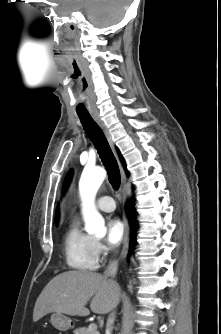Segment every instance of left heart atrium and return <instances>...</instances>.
<instances>
[{"label": "left heart atrium", "mask_w": 221, "mask_h": 334, "mask_svg": "<svg viewBox=\"0 0 221 334\" xmlns=\"http://www.w3.org/2000/svg\"><path fill=\"white\" fill-rule=\"evenodd\" d=\"M125 228L123 222L117 218H110L107 222V242L109 245L118 246L124 239Z\"/></svg>", "instance_id": "left-heart-atrium-1"}]
</instances>
